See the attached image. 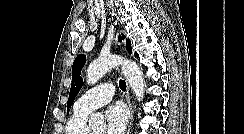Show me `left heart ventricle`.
<instances>
[{
    "instance_id": "1",
    "label": "left heart ventricle",
    "mask_w": 244,
    "mask_h": 134,
    "mask_svg": "<svg viewBox=\"0 0 244 134\" xmlns=\"http://www.w3.org/2000/svg\"><path fill=\"white\" fill-rule=\"evenodd\" d=\"M91 132H92V134H104V128L102 126L97 127V128H94Z\"/></svg>"
}]
</instances>
